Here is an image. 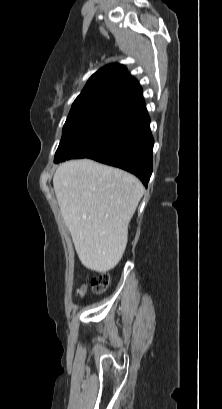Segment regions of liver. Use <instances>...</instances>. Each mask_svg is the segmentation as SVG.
<instances>
[{
  "mask_svg": "<svg viewBox=\"0 0 222 409\" xmlns=\"http://www.w3.org/2000/svg\"><path fill=\"white\" fill-rule=\"evenodd\" d=\"M53 186L81 263L99 273L114 268L144 193L141 182L121 169L80 159L61 164Z\"/></svg>",
  "mask_w": 222,
  "mask_h": 409,
  "instance_id": "liver-1",
  "label": "liver"
}]
</instances>
